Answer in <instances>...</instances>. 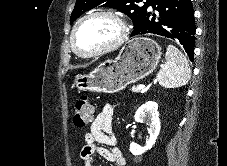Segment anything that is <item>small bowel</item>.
Segmentation results:
<instances>
[{
	"mask_svg": "<svg viewBox=\"0 0 227 166\" xmlns=\"http://www.w3.org/2000/svg\"><path fill=\"white\" fill-rule=\"evenodd\" d=\"M114 111L115 106L106 104L94 117L89 132L84 136L85 145L80 152L84 166H96L97 156L112 162L115 166H125L126 161L115 146L116 138L112 130Z\"/></svg>",
	"mask_w": 227,
	"mask_h": 166,
	"instance_id": "c3829d8e",
	"label": "small bowel"
}]
</instances>
